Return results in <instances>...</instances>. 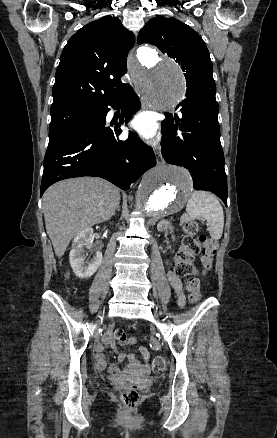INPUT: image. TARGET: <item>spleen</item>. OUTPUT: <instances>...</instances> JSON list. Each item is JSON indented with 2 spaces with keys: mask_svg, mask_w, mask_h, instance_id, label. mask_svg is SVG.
<instances>
[{
  "mask_svg": "<svg viewBox=\"0 0 277 438\" xmlns=\"http://www.w3.org/2000/svg\"><path fill=\"white\" fill-rule=\"evenodd\" d=\"M191 218H205L208 232L213 240H220L224 228L223 208L209 192H193L186 208Z\"/></svg>",
  "mask_w": 277,
  "mask_h": 438,
  "instance_id": "1",
  "label": "spleen"
}]
</instances>
